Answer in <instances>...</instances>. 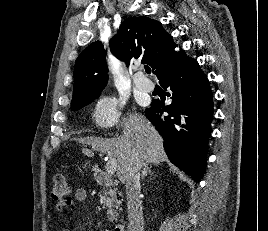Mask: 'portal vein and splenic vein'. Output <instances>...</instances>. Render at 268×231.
I'll use <instances>...</instances> for the list:
<instances>
[{"label": "portal vein and splenic vein", "mask_w": 268, "mask_h": 231, "mask_svg": "<svg viewBox=\"0 0 268 231\" xmlns=\"http://www.w3.org/2000/svg\"><path fill=\"white\" fill-rule=\"evenodd\" d=\"M105 168L109 175H113L116 172L117 162L115 158L110 154H108V161L106 163Z\"/></svg>", "instance_id": "obj_1"}]
</instances>
